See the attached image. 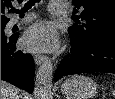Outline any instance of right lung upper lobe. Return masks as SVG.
I'll list each match as a JSON object with an SVG mask.
<instances>
[{
  "instance_id": "right-lung-upper-lobe-1",
  "label": "right lung upper lobe",
  "mask_w": 115,
  "mask_h": 99,
  "mask_svg": "<svg viewBox=\"0 0 115 99\" xmlns=\"http://www.w3.org/2000/svg\"><path fill=\"white\" fill-rule=\"evenodd\" d=\"M13 1V0H12ZM11 0H1V23H7L9 19L5 17V13L12 7Z\"/></svg>"
}]
</instances>
